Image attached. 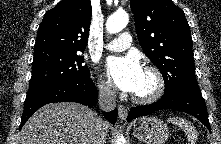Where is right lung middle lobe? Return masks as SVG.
<instances>
[{
  "instance_id": "1",
  "label": "right lung middle lobe",
  "mask_w": 221,
  "mask_h": 144,
  "mask_svg": "<svg viewBox=\"0 0 221 144\" xmlns=\"http://www.w3.org/2000/svg\"><path fill=\"white\" fill-rule=\"evenodd\" d=\"M84 59L76 52L45 51L34 53L32 76L28 94L62 81L86 82L90 80Z\"/></svg>"
}]
</instances>
